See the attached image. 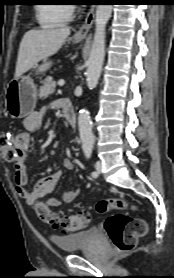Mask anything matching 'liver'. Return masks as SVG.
Masks as SVG:
<instances>
[{"mask_svg": "<svg viewBox=\"0 0 174 278\" xmlns=\"http://www.w3.org/2000/svg\"><path fill=\"white\" fill-rule=\"evenodd\" d=\"M70 35L69 27L32 29L26 32L21 40L15 78H18L37 63L59 51Z\"/></svg>", "mask_w": 174, "mask_h": 278, "instance_id": "liver-1", "label": "liver"}]
</instances>
